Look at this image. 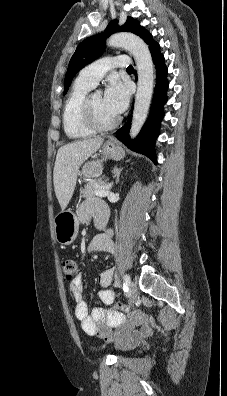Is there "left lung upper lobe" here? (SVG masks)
Masks as SVG:
<instances>
[{
  "mask_svg": "<svg viewBox=\"0 0 227 396\" xmlns=\"http://www.w3.org/2000/svg\"><path fill=\"white\" fill-rule=\"evenodd\" d=\"M120 31L134 33L140 36L146 43L152 39V36L149 35L144 27H142L140 23L137 20H134L132 17H128L125 24L120 27L117 26L116 20H112L103 34H97L86 38L78 45L68 65L63 95L67 93L75 74L84 66L97 59L103 53L106 38H108L111 33Z\"/></svg>",
  "mask_w": 227,
  "mask_h": 396,
  "instance_id": "5c2ea615",
  "label": "left lung upper lobe"
}]
</instances>
